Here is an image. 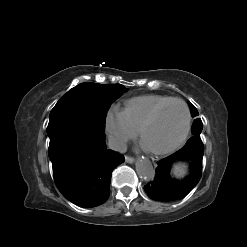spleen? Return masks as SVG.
I'll list each match as a JSON object with an SVG mask.
<instances>
[{"mask_svg": "<svg viewBox=\"0 0 247 247\" xmlns=\"http://www.w3.org/2000/svg\"><path fill=\"white\" fill-rule=\"evenodd\" d=\"M186 173L187 165L185 163L175 164L172 168V174L177 178L183 177Z\"/></svg>", "mask_w": 247, "mask_h": 247, "instance_id": "obj_1", "label": "spleen"}]
</instances>
